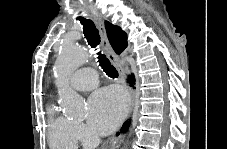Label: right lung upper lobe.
Wrapping results in <instances>:
<instances>
[{"label": "right lung upper lobe", "instance_id": "1", "mask_svg": "<svg viewBox=\"0 0 227 149\" xmlns=\"http://www.w3.org/2000/svg\"><path fill=\"white\" fill-rule=\"evenodd\" d=\"M105 28L110 44L117 54L124 51L127 46V34L122 31V29L116 25L105 21Z\"/></svg>", "mask_w": 227, "mask_h": 149}]
</instances>
